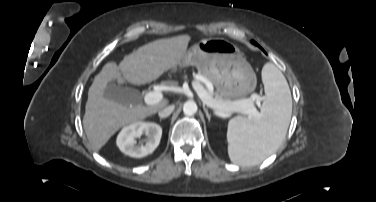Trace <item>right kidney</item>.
Returning a JSON list of instances; mask_svg holds the SVG:
<instances>
[{"label": "right kidney", "instance_id": "right-kidney-1", "mask_svg": "<svg viewBox=\"0 0 376 202\" xmlns=\"http://www.w3.org/2000/svg\"><path fill=\"white\" fill-rule=\"evenodd\" d=\"M146 136L145 145H137V139ZM162 128L156 123L135 122L124 127L118 137L117 146L126 155L141 158L151 154L159 145Z\"/></svg>", "mask_w": 376, "mask_h": 202}]
</instances>
